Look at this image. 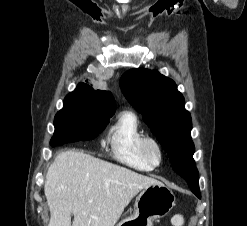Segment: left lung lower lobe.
I'll use <instances>...</instances> for the list:
<instances>
[{
  "mask_svg": "<svg viewBox=\"0 0 247 226\" xmlns=\"http://www.w3.org/2000/svg\"><path fill=\"white\" fill-rule=\"evenodd\" d=\"M174 170L187 181L191 191L198 198H201V194L199 190V174L195 164H193L189 168H176Z\"/></svg>",
  "mask_w": 247,
  "mask_h": 226,
  "instance_id": "obj_1",
  "label": "left lung lower lobe"
}]
</instances>
